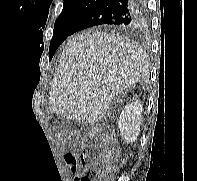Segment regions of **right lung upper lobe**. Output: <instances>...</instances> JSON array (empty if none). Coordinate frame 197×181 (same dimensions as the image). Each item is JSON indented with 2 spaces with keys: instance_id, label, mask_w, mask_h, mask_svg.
I'll return each mask as SVG.
<instances>
[{
  "instance_id": "cb5924a9",
  "label": "right lung upper lobe",
  "mask_w": 197,
  "mask_h": 181,
  "mask_svg": "<svg viewBox=\"0 0 197 181\" xmlns=\"http://www.w3.org/2000/svg\"><path fill=\"white\" fill-rule=\"evenodd\" d=\"M98 1H100V0H64L63 10H69V9L77 8L79 6H89V8H90ZM135 27H137V26H135ZM135 27L134 26L133 27L126 26V27L119 28V29H121L123 31H130Z\"/></svg>"
}]
</instances>
